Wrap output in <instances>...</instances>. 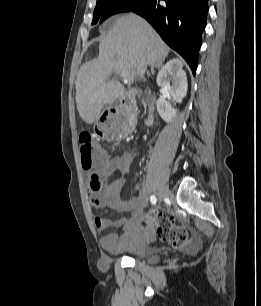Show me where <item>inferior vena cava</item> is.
Wrapping results in <instances>:
<instances>
[{
	"instance_id": "inferior-vena-cava-1",
	"label": "inferior vena cava",
	"mask_w": 261,
	"mask_h": 306,
	"mask_svg": "<svg viewBox=\"0 0 261 306\" xmlns=\"http://www.w3.org/2000/svg\"><path fill=\"white\" fill-rule=\"evenodd\" d=\"M146 68H147V63L145 61H142L140 63V65L138 66V69H137V73L143 77L145 71H146Z\"/></svg>"
}]
</instances>
